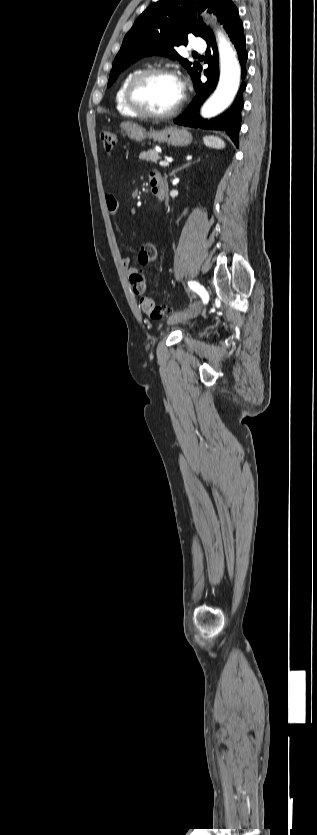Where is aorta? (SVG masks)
<instances>
[{"label": "aorta", "instance_id": "1", "mask_svg": "<svg viewBox=\"0 0 317 835\" xmlns=\"http://www.w3.org/2000/svg\"><path fill=\"white\" fill-rule=\"evenodd\" d=\"M220 58V77L216 90L201 109L203 118L222 113L233 102L240 84L241 68L231 43L221 32L217 33Z\"/></svg>", "mask_w": 317, "mask_h": 835}]
</instances>
